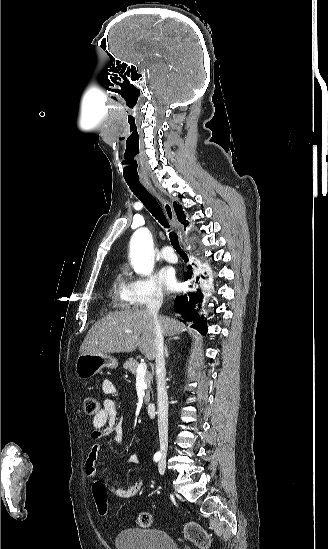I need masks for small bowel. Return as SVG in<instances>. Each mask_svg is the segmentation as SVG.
<instances>
[{
	"label": "small bowel",
	"instance_id": "1",
	"mask_svg": "<svg viewBox=\"0 0 328 549\" xmlns=\"http://www.w3.org/2000/svg\"><path fill=\"white\" fill-rule=\"evenodd\" d=\"M102 389L103 392L109 396H114L117 392L115 384L109 379H105L102 382ZM92 425L93 431L91 436L93 439L100 440L104 437H110L114 442L120 443L122 441V421L118 419L117 405L112 398L104 400L102 409L93 417ZM99 453L100 445L94 443L89 450L85 462L86 474L94 480H101L98 465ZM127 463L129 465L139 463V456L136 454L130 455ZM142 487L143 481L138 480L127 488L110 486V489L116 496L123 499H129L136 496L141 491Z\"/></svg>",
	"mask_w": 328,
	"mask_h": 549
}]
</instances>
